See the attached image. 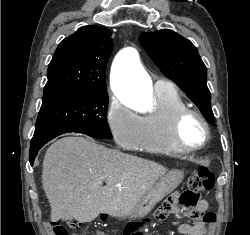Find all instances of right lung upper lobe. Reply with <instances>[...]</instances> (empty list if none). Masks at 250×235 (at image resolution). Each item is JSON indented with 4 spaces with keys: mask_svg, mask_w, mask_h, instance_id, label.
Segmentation results:
<instances>
[{
    "mask_svg": "<svg viewBox=\"0 0 250 235\" xmlns=\"http://www.w3.org/2000/svg\"><path fill=\"white\" fill-rule=\"evenodd\" d=\"M111 51V32L101 26H84L62 40L49 64L43 97L106 89L105 69Z\"/></svg>",
    "mask_w": 250,
    "mask_h": 235,
    "instance_id": "cb5924a9",
    "label": "right lung upper lobe"
}]
</instances>
